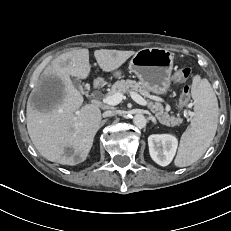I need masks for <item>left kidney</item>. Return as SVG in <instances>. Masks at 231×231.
I'll list each match as a JSON object with an SVG mask.
<instances>
[{
	"label": "left kidney",
	"instance_id": "left-kidney-1",
	"mask_svg": "<svg viewBox=\"0 0 231 231\" xmlns=\"http://www.w3.org/2000/svg\"><path fill=\"white\" fill-rule=\"evenodd\" d=\"M149 153L154 162L167 166L173 160L178 140L170 134H153L148 137Z\"/></svg>",
	"mask_w": 231,
	"mask_h": 231
}]
</instances>
